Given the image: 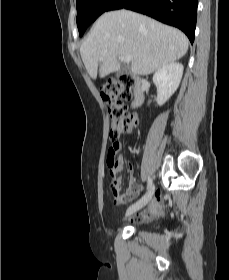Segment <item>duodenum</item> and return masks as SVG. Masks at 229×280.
<instances>
[{
    "label": "duodenum",
    "instance_id": "410a0bca",
    "mask_svg": "<svg viewBox=\"0 0 229 280\" xmlns=\"http://www.w3.org/2000/svg\"><path fill=\"white\" fill-rule=\"evenodd\" d=\"M134 79L136 81L135 89H134V99L132 102V107L136 108L140 106L145 99V90L143 85L141 84V79L139 76L134 75Z\"/></svg>",
    "mask_w": 229,
    "mask_h": 280
}]
</instances>
